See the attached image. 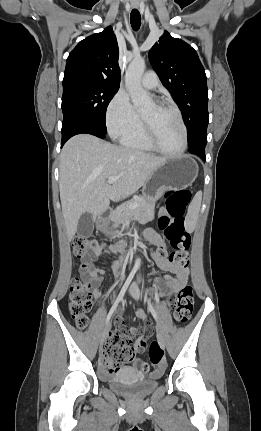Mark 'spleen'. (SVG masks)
<instances>
[{"instance_id":"spleen-1","label":"spleen","mask_w":261,"mask_h":431,"mask_svg":"<svg viewBox=\"0 0 261 431\" xmlns=\"http://www.w3.org/2000/svg\"><path fill=\"white\" fill-rule=\"evenodd\" d=\"M201 199H202V193L201 192L197 193L194 196V198L191 202V205H190V212L191 213L197 214L199 212L200 205H201Z\"/></svg>"}]
</instances>
